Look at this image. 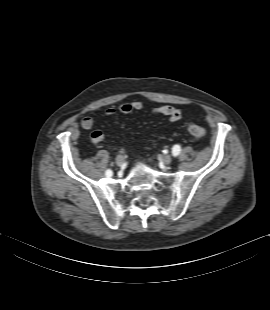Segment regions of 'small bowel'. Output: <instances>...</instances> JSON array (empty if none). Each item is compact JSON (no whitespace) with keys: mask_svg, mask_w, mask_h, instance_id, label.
I'll return each instance as SVG.
<instances>
[{"mask_svg":"<svg viewBox=\"0 0 270 310\" xmlns=\"http://www.w3.org/2000/svg\"><path fill=\"white\" fill-rule=\"evenodd\" d=\"M144 108L141 101H133L130 103H124L117 107L110 108L106 111L105 115L111 117L117 114H130L133 111H142ZM153 114L163 115L167 117L170 121H178L181 118V112L174 106L164 105L160 107L153 108L151 110ZM94 125V119L92 117H84L81 120V127L83 129H91ZM104 133L100 130H95L91 133V141L94 144H98L104 140Z\"/></svg>","mask_w":270,"mask_h":310,"instance_id":"obj_1","label":"small bowel"}]
</instances>
